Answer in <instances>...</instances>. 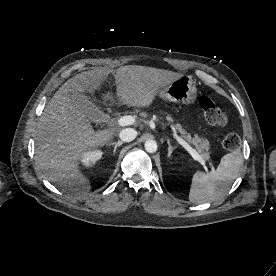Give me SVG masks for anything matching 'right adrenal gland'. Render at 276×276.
Wrapping results in <instances>:
<instances>
[{
    "label": "right adrenal gland",
    "mask_w": 276,
    "mask_h": 276,
    "mask_svg": "<svg viewBox=\"0 0 276 276\" xmlns=\"http://www.w3.org/2000/svg\"><path fill=\"white\" fill-rule=\"evenodd\" d=\"M122 144H123L122 141H118L117 143L116 142H111V143L107 144V146H114V154H115L117 148L120 147Z\"/></svg>",
    "instance_id": "2a0ac1e0"
}]
</instances>
